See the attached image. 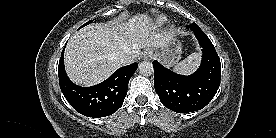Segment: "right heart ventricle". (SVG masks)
I'll return each mask as SVG.
<instances>
[{
	"instance_id": "e07e8e85",
	"label": "right heart ventricle",
	"mask_w": 276,
	"mask_h": 138,
	"mask_svg": "<svg viewBox=\"0 0 276 138\" xmlns=\"http://www.w3.org/2000/svg\"><path fill=\"white\" fill-rule=\"evenodd\" d=\"M166 18L165 17H160L159 19H158V21H157V25L158 26H161V25H163L165 22H166Z\"/></svg>"
}]
</instances>
